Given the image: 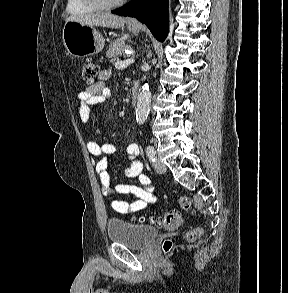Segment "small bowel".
Here are the masks:
<instances>
[{
    "label": "small bowel",
    "instance_id": "1",
    "mask_svg": "<svg viewBox=\"0 0 288 293\" xmlns=\"http://www.w3.org/2000/svg\"><path fill=\"white\" fill-rule=\"evenodd\" d=\"M111 70L105 69L100 73V81L91 87L82 89L78 94L80 102L79 115L84 123H87L91 115V106L104 103L110 97V89L105 81L110 77ZM87 149L92 156L98 157L96 162V172L102 184V194L107 200V204L116 212L126 214L138 212L146 208L148 204L156 202L154 187L150 178L143 172V164L138 159L139 147L134 144L126 146V155L129 165L125 170L126 176L136 178L139 185L120 183L111 185L110 173L108 170V156L117 151L116 145L112 143L99 144L95 141L87 143ZM116 194L134 195L136 200L128 203L115 199Z\"/></svg>",
    "mask_w": 288,
    "mask_h": 293
}]
</instances>
